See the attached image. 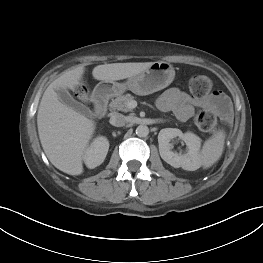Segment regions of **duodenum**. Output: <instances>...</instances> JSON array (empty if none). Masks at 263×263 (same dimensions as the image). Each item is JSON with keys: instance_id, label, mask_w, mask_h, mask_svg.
<instances>
[{"instance_id": "duodenum-1", "label": "duodenum", "mask_w": 263, "mask_h": 263, "mask_svg": "<svg viewBox=\"0 0 263 263\" xmlns=\"http://www.w3.org/2000/svg\"><path fill=\"white\" fill-rule=\"evenodd\" d=\"M108 94L105 89H99L94 95V110L96 115L103 116L107 112Z\"/></svg>"}]
</instances>
